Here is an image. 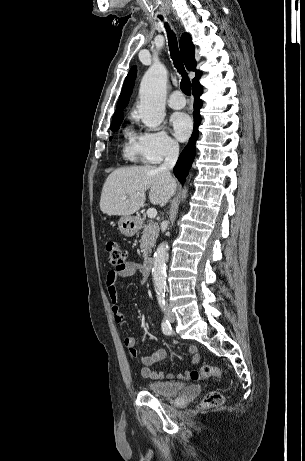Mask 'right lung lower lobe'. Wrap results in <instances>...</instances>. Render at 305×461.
I'll list each match as a JSON object with an SVG mask.
<instances>
[{"instance_id": "right-lung-lower-lobe-1", "label": "right lung lower lobe", "mask_w": 305, "mask_h": 461, "mask_svg": "<svg viewBox=\"0 0 305 461\" xmlns=\"http://www.w3.org/2000/svg\"><path fill=\"white\" fill-rule=\"evenodd\" d=\"M202 86L198 82L192 85V93L194 95V129L191 138L189 139L188 145L184 148L182 153L179 156V159L174 167V174L183 184L184 179L186 178L189 169L191 167L192 161L196 155L195 143L199 135L198 126L201 122V116L199 110L202 106V101L200 100V95L202 94Z\"/></svg>"}]
</instances>
